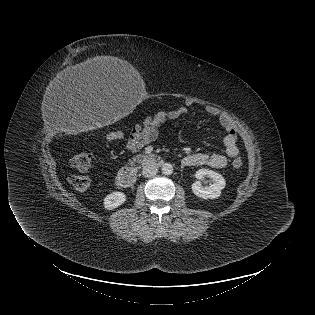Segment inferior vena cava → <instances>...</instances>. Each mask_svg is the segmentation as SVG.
Returning <instances> with one entry per match:
<instances>
[{"label": "inferior vena cava", "mask_w": 315, "mask_h": 315, "mask_svg": "<svg viewBox=\"0 0 315 315\" xmlns=\"http://www.w3.org/2000/svg\"><path fill=\"white\" fill-rule=\"evenodd\" d=\"M158 173V168L151 163H147L142 168V174L145 177H153Z\"/></svg>", "instance_id": "obj_1"}]
</instances>
